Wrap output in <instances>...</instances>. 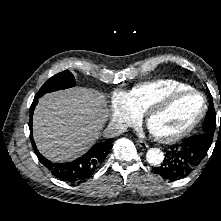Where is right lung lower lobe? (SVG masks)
Segmentation results:
<instances>
[{
  "mask_svg": "<svg viewBox=\"0 0 221 221\" xmlns=\"http://www.w3.org/2000/svg\"><path fill=\"white\" fill-rule=\"evenodd\" d=\"M38 98L39 96L36 95L30 107L29 129L32 146L39 161L47 167L56 178L65 182H77L91 177L108 155L114 140L108 139L105 142L93 145L85 155L72 162L53 163L47 160L38 152L32 136V115L38 103Z\"/></svg>",
  "mask_w": 221,
  "mask_h": 221,
  "instance_id": "obj_1",
  "label": "right lung lower lobe"
}]
</instances>
